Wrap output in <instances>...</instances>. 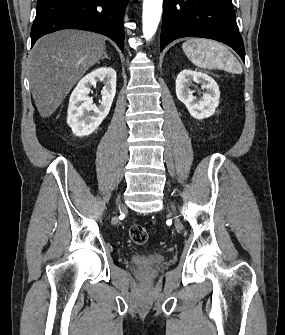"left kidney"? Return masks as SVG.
<instances>
[{
    "label": "left kidney",
    "instance_id": "left-kidney-1",
    "mask_svg": "<svg viewBox=\"0 0 285 335\" xmlns=\"http://www.w3.org/2000/svg\"><path fill=\"white\" fill-rule=\"evenodd\" d=\"M191 82L201 84V88L206 90L200 100H196L189 90ZM176 96L180 102L185 104L193 118L203 120V118H210L215 114V110L219 106L220 90L215 80L207 74L193 72V70H182L176 78Z\"/></svg>",
    "mask_w": 285,
    "mask_h": 335
}]
</instances>
